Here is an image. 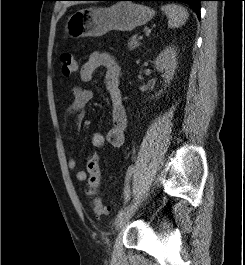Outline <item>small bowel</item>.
<instances>
[{"instance_id": "c3829d8e", "label": "small bowel", "mask_w": 245, "mask_h": 265, "mask_svg": "<svg viewBox=\"0 0 245 265\" xmlns=\"http://www.w3.org/2000/svg\"><path fill=\"white\" fill-rule=\"evenodd\" d=\"M100 68L105 70L104 84L112 104V126L106 135L99 132L93 133L91 136V144L95 148H103L106 145L119 148L124 144L125 131L128 123L127 112L123 104L120 89L122 76L121 65L107 52L95 51L81 67L80 79L83 82L91 81L95 72ZM92 98V90L82 86H75L73 88L72 101L64 112V126L67 125L70 120L74 121L75 125L78 126V123L84 117L85 107ZM67 166L71 171L77 170L78 164L76 159L69 158ZM76 179L80 182H84L88 180V175L85 171L78 170L76 172Z\"/></svg>"}]
</instances>
